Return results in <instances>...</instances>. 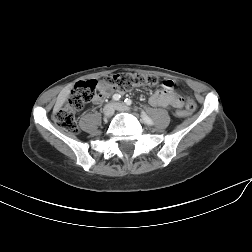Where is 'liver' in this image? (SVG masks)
Masks as SVG:
<instances>
[{
    "instance_id": "obj_1",
    "label": "liver",
    "mask_w": 252,
    "mask_h": 252,
    "mask_svg": "<svg viewBox=\"0 0 252 252\" xmlns=\"http://www.w3.org/2000/svg\"><path fill=\"white\" fill-rule=\"evenodd\" d=\"M72 89V85L66 86L64 89L61 90L59 93L55 106H54V112H57L65 103L67 97L70 94V90Z\"/></svg>"
}]
</instances>
